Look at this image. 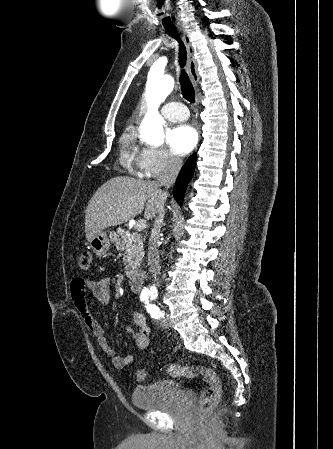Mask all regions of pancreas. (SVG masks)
I'll return each mask as SVG.
<instances>
[{
  "label": "pancreas",
  "mask_w": 333,
  "mask_h": 449,
  "mask_svg": "<svg viewBox=\"0 0 333 449\" xmlns=\"http://www.w3.org/2000/svg\"><path fill=\"white\" fill-rule=\"evenodd\" d=\"M118 251L123 254V262L128 277L138 269L140 261L143 259L142 237L138 233H130L125 230H118L110 234Z\"/></svg>",
  "instance_id": "pancreas-1"
}]
</instances>
